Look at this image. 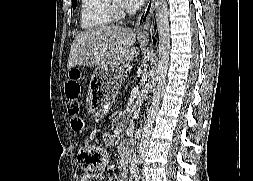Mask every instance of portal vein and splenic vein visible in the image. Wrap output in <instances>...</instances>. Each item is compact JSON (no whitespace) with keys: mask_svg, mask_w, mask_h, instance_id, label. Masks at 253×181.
<instances>
[{"mask_svg":"<svg viewBox=\"0 0 253 181\" xmlns=\"http://www.w3.org/2000/svg\"><path fill=\"white\" fill-rule=\"evenodd\" d=\"M138 89H139L138 87L134 88V89H133V92L138 91Z\"/></svg>","mask_w":253,"mask_h":181,"instance_id":"1","label":"portal vein and splenic vein"}]
</instances>
